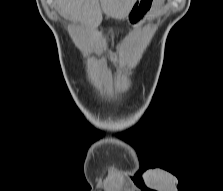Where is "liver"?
<instances>
[{
	"mask_svg": "<svg viewBox=\"0 0 223 191\" xmlns=\"http://www.w3.org/2000/svg\"><path fill=\"white\" fill-rule=\"evenodd\" d=\"M135 0H56L58 11L65 18L94 28L107 17L124 19Z\"/></svg>",
	"mask_w": 223,
	"mask_h": 191,
	"instance_id": "obj_1",
	"label": "liver"
}]
</instances>
